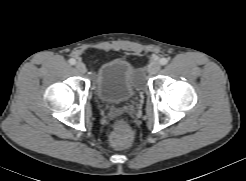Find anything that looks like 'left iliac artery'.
I'll return each mask as SVG.
<instances>
[{"instance_id":"44dca946","label":"left iliac artery","mask_w":246,"mask_h":181,"mask_svg":"<svg viewBox=\"0 0 246 181\" xmlns=\"http://www.w3.org/2000/svg\"><path fill=\"white\" fill-rule=\"evenodd\" d=\"M159 62L161 65H166L168 63V59L167 58H161Z\"/></svg>"}]
</instances>
